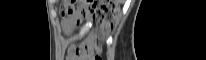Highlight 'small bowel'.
I'll use <instances>...</instances> for the list:
<instances>
[{
	"instance_id": "obj_1",
	"label": "small bowel",
	"mask_w": 206,
	"mask_h": 60,
	"mask_svg": "<svg viewBox=\"0 0 206 60\" xmlns=\"http://www.w3.org/2000/svg\"><path fill=\"white\" fill-rule=\"evenodd\" d=\"M72 27H73V26H72L71 24H65V25H64V30H65V32H66V33L70 32L71 29H72ZM68 60H81V59L77 56L74 48H70V49H69V52H68Z\"/></svg>"
}]
</instances>
